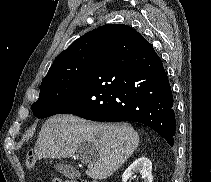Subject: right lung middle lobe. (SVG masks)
<instances>
[{"label":"right lung middle lobe","mask_w":211,"mask_h":182,"mask_svg":"<svg viewBox=\"0 0 211 182\" xmlns=\"http://www.w3.org/2000/svg\"><path fill=\"white\" fill-rule=\"evenodd\" d=\"M90 65L91 62L76 65L43 78L39 87V98L31 106L34 115L37 118H46L57 114V111L82 88Z\"/></svg>","instance_id":"dd1d6c3e"}]
</instances>
